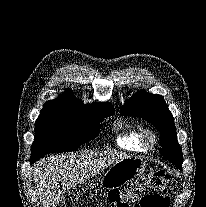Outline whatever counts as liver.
Masks as SVG:
<instances>
[{"instance_id":"1","label":"liver","mask_w":206,"mask_h":207,"mask_svg":"<svg viewBox=\"0 0 206 207\" xmlns=\"http://www.w3.org/2000/svg\"><path fill=\"white\" fill-rule=\"evenodd\" d=\"M129 158L115 152H76L41 159L35 167L34 183L44 207H57L65 191L84 183L108 166ZM62 187V189H60Z\"/></svg>"}]
</instances>
